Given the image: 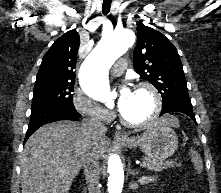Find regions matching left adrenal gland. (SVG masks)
I'll return each instance as SVG.
<instances>
[{"label": "left adrenal gland", "mask_w": 221, "mask_h": 193, "mask_svg": "<svg viewBox=\"0 0 221 193\" xmlns=\"http://www.w3.org/2000/svg\"><path fill=\"white\" fill-rule=\"evenodd\" d=\"M130 166H131V162H129L128 173L131 174L133 177L138 176L139 171H138V170H132V169L130 168Z\"/></svg>", "instance_id": "1"}]
</instances>
